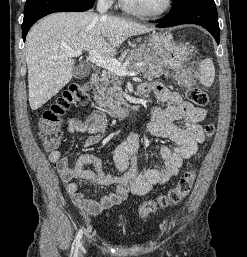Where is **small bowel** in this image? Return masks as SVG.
Instances as JSON below:
<instances>
[{"mask_svg": "<svg viewBox=\"0 0 247 257\" xmlns=\"http://www.w3.org/2000/svg\"><path fill=\"white\" fill-rule=\"evenodd\" d=\"M142 86L144 92L154 93L155 103L149 122L111 151L117 175L104 171L101 160L92 154L80 155L73 166L70 159L63 157L59 150L49 154V161L54 164L66 193L82 212L98 215L103 210L122 203L129 195L143 196L154 186L168 183L178 175L183 162L197 152L198 145L205 139L201 127L206 118L205 109L184 101L180 94L168 90L160 83ZM179 121L183 125H179ZM106 130V118L99 111H93L86 119L73 118L67 123L68 133L89 135L83 142L84 148L97 144ZM144 136L168 139L175 147L162 146L159 149L160 160L152 162L149 168L139 172L135 153ZM87 164H91L95 170L85 169ZM75 179L89 180L100 186L115 185L116 189L99 200L89 199L79 191Z\"/></svg>", "mask_w": 247, "mask_h": 257, "instance_id": "small-bowel-1", "label": "small bowel"}]
</instances>
